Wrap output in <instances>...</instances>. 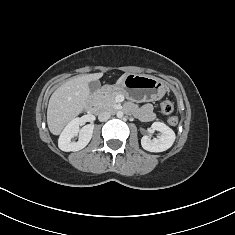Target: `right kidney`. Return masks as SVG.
<instances>
[{"instance_id": "ca27d5eb", "label": "right kidney", "mask_w": 235, "mask_h": 235, "mask_svg": "<svg viewBox=\"0 0 235 235\" xmlns=\"http://www.w3.org/2000/svg\"><path fill=\"white\" fill-rule=\"evenodd\" d=\"M81 124L82 121L80 118H75L67 124L58 140V146L62 151H79L85 148L90 142L94 125L87 124L80 129ZM78 133L80 135L79 140L76 142L71 141L72 138L78 135Z\"/></svg>"}]
</instances>
